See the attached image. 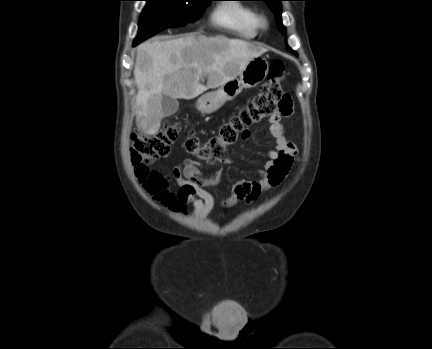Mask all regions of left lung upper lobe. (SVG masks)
<instances>
[{
	"instance_id": "left-lung-upper-lobe-1",
	"label": "left lung upper lobe",
	"mask_w": 432,
	"mask_h": 349,
	"mask_svg": "<svg viewBox=\"0 0 432 349\" xmlns=\"http://www.w3.org/2000/svg\"><path fill=\"white\" fill-rule=\"evenodd\" d=\"M259 1H265L267 3V5L269 6V8L276 14V22L278 24V27H279L280 31L282 32V34H285V29H284V26L282 25L281 16H280L281 15V3L280 2L284 1V0H259ZM293 53H295V52L293 51Z\"/></svg>"
}]
</instances>
